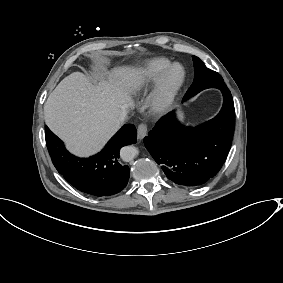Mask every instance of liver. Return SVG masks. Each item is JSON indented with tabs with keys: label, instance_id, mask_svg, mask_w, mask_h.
I'll use <instances>...</instances> for the list:
<instances>
[{
	"label": "liver",
	"instance_id": "1",
	"mask_svg": "<svg viewBox=\"0 0 283 283\" xmlns=\"http://www.w3.org/2000/svg\"><path fill=\"white\" fill-rule=\"evenodd\" d=\"M142 85L136 69L120 72L118 85H93L81 72L64 78L44 105L45 123L71 150L89 154L99 149L117 130L118 116L132 104L124 87Z\"/></svg>",
	"mask_w": 283,
	"mask_h": 283
}]
</instances>
